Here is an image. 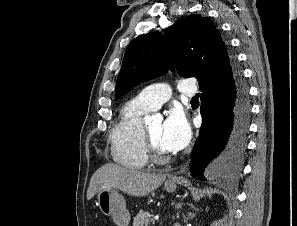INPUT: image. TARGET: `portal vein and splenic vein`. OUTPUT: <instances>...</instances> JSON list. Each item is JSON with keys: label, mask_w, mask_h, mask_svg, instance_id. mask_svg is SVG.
<instances>
[{"label": "portal vein and splenic vein", "mask_w": 297, "mask_h": 226, "mask_svg": "<svg viewBox=\"0 0 297 226\" xmlns=\"http://www.w3.org/2000/svg\"><path fill=\"white\" fill-rule=\"evenodd\" d=\"M158 219H159V216L157 215V216L154 217L153 222H155Z\"/></svg>", "instance_id": "portal-vein-and-splenic-vein-1"}]
</instances>
